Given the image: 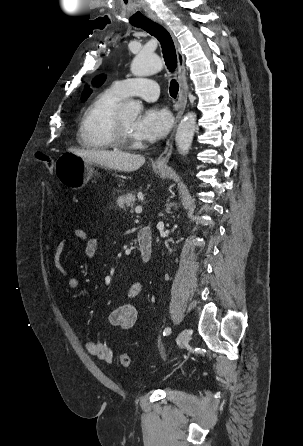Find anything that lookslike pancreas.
<instances>
[{
	"instance_id": "1",
	"label": "pancreas",
	"mask_w": 303,
	"mask_h": 446,
	"mask_svg": "<svg viewBox=\"0 0 303 446\" xmlns=\"http://www.w3.org/2000/svg\"><path fill=\"white\" fill-rule=\"evenodd\" d=\"M135 201H136L135 194L127 193L117 198V205L123 210L131 208L132 212V208L135 204Z\"/></svg>"
}]
</instances>
